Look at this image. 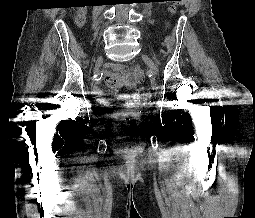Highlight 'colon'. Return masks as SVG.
Listing matches in <instances>:
<instances>
[{
    "instance_id": "colon-1",
    "label": "colon",
    "mask_w": 255,
    "mask_h": 218,
    "mask_svg": "<svg viewBox=\"0 0 255 218\" xmlns=\"http://www.w3.org/2000/svg\"><path fill=\"white\" fill-rule=\"evenodd\" d=\"M173 1H175L177 4H180L183 0H173ZM82 20H83V17H82L81 14H79V15L77 16V19H76L77 23H81ZM112 85H113L114 87H117V86H118L117 82L114 81V80H112ZM141 95H142V97H144L145 99H150V98H151V94H150V91H149V90H143L142 93H141ZM127 115H128V114L125 113V116H127Z\"/></svg>"
}]
</instances>
